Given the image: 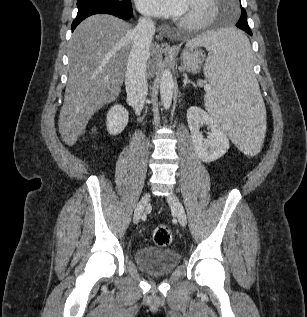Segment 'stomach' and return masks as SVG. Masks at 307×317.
<instances>
[{
    "label": "stomach",
    "instance_id": "obj_1",
    "mask_svg": "<svg viewBox=\"0 0 307 317\" xmlns=\"http://www.w3.org/2000/svg\"><path fill=\"white\" fill-rule=\"evenodd\" d=\"M204 60L203 52L197 48L186 49L181 54V63L189 73H198Z\"/></svg>",
    "mask_w": 307,
    "mask_h": 317
}]
</instances>
